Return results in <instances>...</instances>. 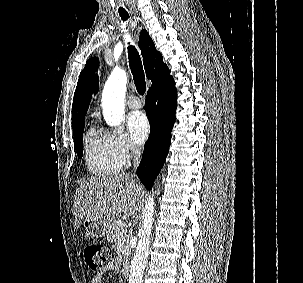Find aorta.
<instances>
[{
  "instance_id": "762f6f07",
  "label": "aorta",
  "mask_w": 303,
  "mask_h": 283,
  "mask_svg": "<svg viewBox=\"0 0 303 283\" xmlns=\"http://www.w3.org/2000/svg\"><path fill=\"white\" fill-rule=\"evenodd\" d=\"M127 76L120 68H115L105 83L102 93V109L106 123L117 127L124 116ZM155 201L150 195L145 204L142 224L138 232V244L130 264L129 283H142L144 269L149 254L150 236L154 220Z\"/></svg>"
}]
</instances>
